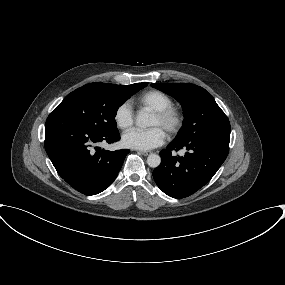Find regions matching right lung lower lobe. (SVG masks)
<instances>
[{"instance_id": "right-lung-lower-lobe-1", "label": "right lung lower lobe", "mask_w": 285, "mask_h": 285, "mask_svg": "<svg viewBox=\"0 0 285 285\" xmlns=\"http://www.w3.org/2000/svg\"><path fill=\"white\" fill-rule=\"evenodd\" d=\"M119 132L103 134L62 115L50 114L45 124V149L58 174L74 189L95 195L115 180L128 149L108 151L96 147L114 143Z\"/></svg>"}]
</instances>
